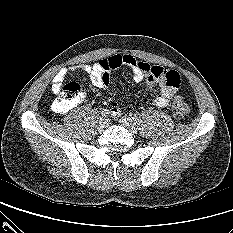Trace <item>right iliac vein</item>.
<instances>
[{"instance_id":"63e3f726","label":"right iliac vein","mask_w":233,"mask_h":233,"mask_svg":"<svg viewBox=\"0 0 233 233\" xmlns=\"http://www.w3.org/2000/svg\"><path fill=\"white\" fill-rule=\"evenodd\" d=\"M108 124H109L108 119L102 117L98 121V129L99 130H104L105 128L108 127Z\"/></svg>"}]
</instances>
